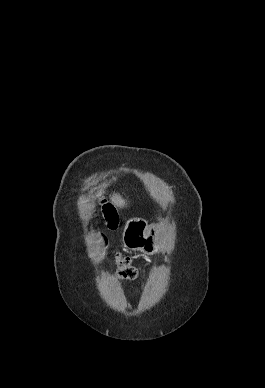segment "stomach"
I'll list each match as a JSON object with an SVG mask.
<instances>
[{"label": "stomach", "mask_w": 265, "mask_h": 388, "mask_svg": "<svg viewBox=\"0 0 265 388\" xmlns=\"http://www.w3.org/2000/svg\"><path fill=\"white\" fill-rule=\"evenodd\" d=\"M123 243L130 250L153 254L159 243L158 226H149L143 219H131L126 223Z\"/></svg>", "instance_id": "obj_1"}]
</instances>
